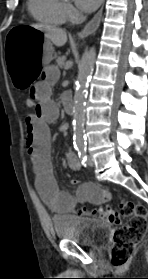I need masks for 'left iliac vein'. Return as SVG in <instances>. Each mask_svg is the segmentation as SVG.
<instances>
[{
    "mask_svg": "<svg viewBox=\"0 0 148 279\" xmlns=\"http://www.w3.org/2000/svg\"><path fill=\"white\" fill-rule=\"evenodd\" d=\"M86 162H87V165L90 167H92L94 165L93 159L90 155L87 156Z\"/></svg>",
    "mask_w": 148,
    "mask_h": 279,
    "instance_id": "left-iliac-vein-1",
    "label": "left iliac vein"
}]
</instances>
